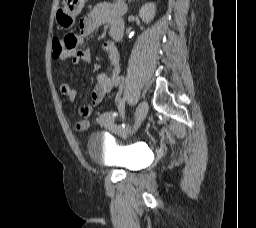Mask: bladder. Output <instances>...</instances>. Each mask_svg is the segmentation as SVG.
Segmentation results:
<instances>
[{"label":"bladder","mask_w":256,"mask_h":228,"mask_svg":"<svg viewBox=\"0 0 256 228\" xmlns=\"http://www.w3.org/2000/svg\"><path fill=\"white\" fill-rule=\"evenodd\" d=\"M87 149L92 159L129 171L143 168L147 159L141 146L121 145L98 132L89 136Z\"/></svg>","instance_id":"obj_1"}]
</instances>
